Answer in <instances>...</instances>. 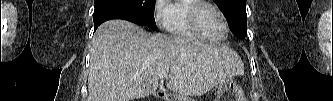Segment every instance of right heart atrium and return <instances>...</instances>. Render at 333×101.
Here are the masks:
<instances>
[{"label":"right heart atrium","mask_w":333,"mask_h":101,"mask_svg":"<svg viewBox=\"0 0 333 101\" xmlns=\"http://www.w3.org/2000/svg\"><path fill=\"white\" fill-rule=\"evenodd\" d=\"M170 2L167 0H156L154 4V16L156 23L162 28H167L170 15Z\"/></svg>","instance_id":"d8ad5b80"}]
</instances>
